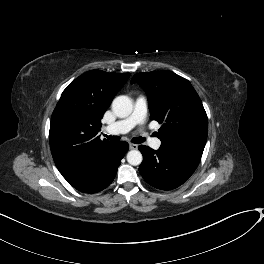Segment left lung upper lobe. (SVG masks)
<instances>
[{
    "label": "left lung upper lobe",
    "instance_id": "obj_1",
    "mask_svg": "<svg viewBox=\"0 0 264 264\" xmlns=\"http://www.w3.org/2000/svg\"><path fill=\"white\" fill-rule=\"evenodd\" d=\"M146 92L150 118L161 124L160 148L201 157L208 133L207 115L191 83L171 72L137 73L131 83Z\"/></svg>",
    "mask_w": 264,
    "mask_h": 264
}]
</instances>
